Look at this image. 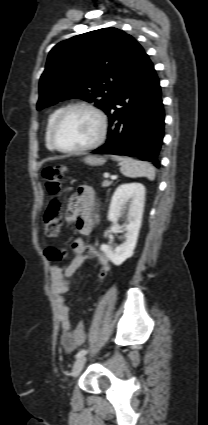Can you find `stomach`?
I'll return each instance as SVG.
<instances>
[{
    "instance_id": "1",
    "label": "stomach",
    "mask_w": 208,
    "mask_h": 425,
    "mask_svg": "<svg viewBox=\"0 0 208 425\" xmlns=\"http://www.w3.org/2000/svg\"><path fill=\"white\" fill-rule=\"evenodd\" d=\"M84 162L92 166H98L103 165L105 163V159L98 156H87L84 158Z\"/></svg>"
}]
</instances>
